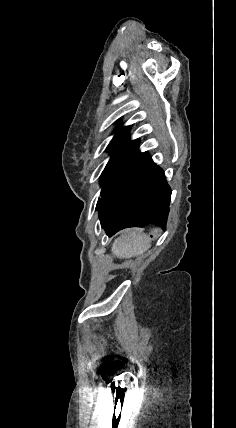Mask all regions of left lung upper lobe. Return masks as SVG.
<instances>
[{
    "instance_id": "left-lung-upper-lobe-1",
    "label": "left lung upper lobe",
    "mask_w": 236,
    "mask_h": 428,
    "mask_svg": "<svg viewBox=\"0 0 236 428\" xmlns=\"http://www.w3.org/2000/svg\"><path fill=\"white\" fill-rule=\"evenodd\" d=\"M130 126L120 129L110 142L112 156L100 177L102 192H109L138 157L139 140L131 141Z\"/></svg>"
}]
</instances>
